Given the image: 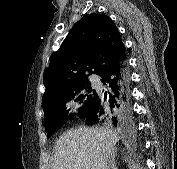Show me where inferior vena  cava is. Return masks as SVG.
Returning a JSON list of instances; mask_svg holds the SVG:
<instances>
[{
  "label": "inferior vena cava",
  "mask_w": 177,
  "mask_h": 169,
  "mask_svg": "<svg viewBox=\"0 0 177 169\" xmlns=\"http://www.w3.org/2000/svg\"><path fill=\"white\" fill-rule=\"evenodd\" d=\"M106 161H108V157L110 156V153L112 152L113 150V146L111 143L109 142H106ZM109 162V161H108ZM107 169L109 168V164L107 163Z\"/></svg>",
  "instance_id": "obj_1"
}]
</instances>
